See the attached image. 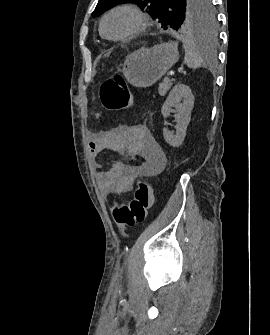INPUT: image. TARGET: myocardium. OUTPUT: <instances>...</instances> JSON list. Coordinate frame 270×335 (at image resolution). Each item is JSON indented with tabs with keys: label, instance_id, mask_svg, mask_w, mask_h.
<instances>
[{
	"label": "myocardium",
	"instance_id": "f54148a6",
	"mask_svg": "<svg viewBox=\"0 0 270 335\" xmlns=\"http://www.w3.org/2000/svg\"><path fill=\"white\" fill-rule=\"evenodd\" d=\"M119 11H127V12H130V13L134 14L137 17V19L139 21V24H138L137 28L134 29L133 31H131V32H129V33L123 35V36L112 38V37L108 36L105 32V23H106L107 19L109 18V16H111L112 14H114L116 12H119ZM149 23H150L149 17L141 9H139L136 6L126 4V5H121V6L115 7L104 15V17L102 18V20L100 22V32L108 40H112V41L127 40V39H131V38L139 35L140 33L144 32L147 29V27L149 26ZM136 52H139V51H136ZM128 78H135V77H128Z\"/></svg>",
	"mask_w": 270,
	"mask_h": 335
}]
</instances>
